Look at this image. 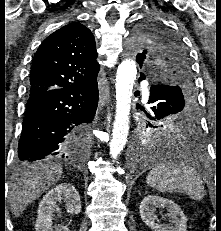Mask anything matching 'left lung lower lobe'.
Listing matches in <instances>:
<instances>
[{
	"label": "left lung lower lobe",
	"mask_w": 221,
	"mask_h": 231,
	"mask_svg": "<svg viewBox=\"0 0 221 231\" xmlns=\"http://www.w3.org/2000/svg\"><path fill=\"white\" fill-rule=\"evenodd\" d=\"M145 79L140 76L139 80ZM165 88L159 85H152L150 88V96L148 103H156L161 101L163 92ZM195 119H189L183 121L176 129L173 131L162 133L157 139L153 140L150 148L136 147L131 151V156L133 159H141L144 161H153L160 158L165 152L158 148V145L162 144L171 151H182L183 155L181 159L183 161H189L195 158L196 147L199 146V127ZM168 150V149H167Z\"/></svg>",
	"instance_id": "obj_1"
}]
</instances>
